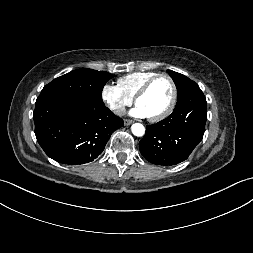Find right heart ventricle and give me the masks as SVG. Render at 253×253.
<instances>
[{"label": "right heart ventricle", "instance_id": "right-heart-ventricle-1", "mask_svg": "<svg viewBox=\"0 0 253 253\" xmlns=\"http://www.w3.org/2000/svg\"><path fill=\"white\" fill-rule=\"evenodd\" d=\"M157 75L155 72H134L120 77L117 85L130 98H134L139 89L152 77Z\"/></svg>", "mask_w": 253, "mask_h": 253}]
</instances>
